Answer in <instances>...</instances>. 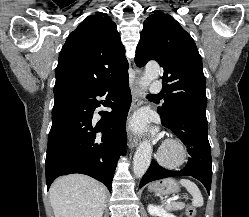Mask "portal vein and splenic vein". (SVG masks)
Returning <instances> with one entry per match:
<instances>
[{"label": "portal vein and splenic vein", "instance_id": "portal-vein-and-splenic-vein-1", "mask_svg": "<svg viewBox=\"0 0 249 217\" xmlns=\"http://www.w3.org/2000/svg\"><path fill=\"white\" fill-rule=\"evenodd\" d=\"M177 199H179V197H178V196H175V197L172 198L171 200H168V201L166 202V205L170 204L173 200H177Z\"/></svg>", "mask_w": 249, "mask_h": 217}]
</instances>
